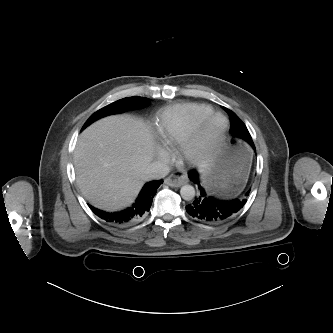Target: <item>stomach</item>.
<instances>
[{"label": "stomach", "instance_id": "obj_1", "mask_svg": "<svg viewBox=\"0 0 333 333\" xmlns=\"http://www.w3.org/2000/svg\"><path fill=\"white\" fill-rule=\"evenodd\" d=\"M252 154L243 145H225L204 169L206 188L221 197L236 196L247 177Z\"/></svg>", "mask_w": 333, "mask_h": 333}]
</instances>
